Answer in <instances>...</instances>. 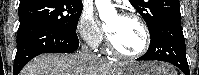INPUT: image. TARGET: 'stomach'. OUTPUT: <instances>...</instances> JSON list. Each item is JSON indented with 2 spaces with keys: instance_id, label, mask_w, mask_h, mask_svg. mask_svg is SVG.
Segmentation results:
<instances>
[{
  "instance_id": "obj_1",
  "label": "stomach",
  "mask_w": 199,
  "mask_h": 75,
  "mask_svg": "<svg viewBox=\"0 0 199 75\" xmlns=\"http://www.w3.org/2000/svg\"><path fill=\"white\" fill-rule=\"evenodd\" d=\"M116 73L117 75H172L167 64L158 62L130 63L118 69Z\"/></svg>"
}]
</instances>
